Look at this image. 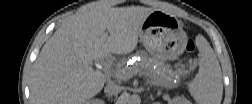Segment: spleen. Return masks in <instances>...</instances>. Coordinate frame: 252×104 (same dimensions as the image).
<instances>
[{
	"instance_id": "obj_1",
	"label": "spleen",
	"mask_w": 252,
	"mask_h": 104,
	"mask_svg": "<svg viewBox=\"0 0 252 104\" xmlns=\"http://www.w3.org/2000/svg\"><path fill=\"white\" fill-rule=\"evenodd\" d=\"M196 44L199 49V71L188 85L189 93L199 104H219L223 94L220 64L203 36L196 37Z\"/></svg>"
}]
</instances>
